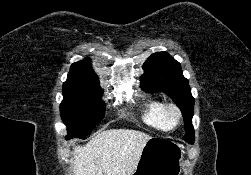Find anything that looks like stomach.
<instances>
[{"label":"stomach","instance_id":"stomach-1","mask_svg":"<svg viewBox=\"0 0 251 175\" xmlns=\"http://www.w3.org/2000/svg\"><path fill=\"white\" fill-rule=\"evenodd\" d=\"M183 147L170 137L151 135L131 175H180Z\"/></svg>","mask_w":251,"mask_h":175}]
</instances>
